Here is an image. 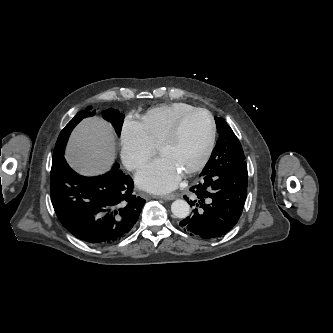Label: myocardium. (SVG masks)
I'll list each match as a JSON object with an SVG mask.
<instances>
[{"label":"myocardium","mask_w":333,"mask_h":333,"mask_svg":"<svg viewBox=\"0 0 333 333\" xmlns=\"http://www.w3.org/2000/svg\"><path fill=\"white\" fill-rule=\"evenodd\" d=\"M195 113H205L208 116L210 123V133L207 145L199 161L194 166L186 170L183 173L184 176H191L199 172L201 169L205 167V165L207 164V162L211 157V154L215 146L216 134H217L216 121L213 114L208 109L201 107H195L189 111L184 112L174 121L172 126L169 128L167 133L164 135V137L161 139L160 143L158 144V149L159 151H161L163 147L175 141L180 133V130L185 120Z\"/></svg>","instance_id":"f54148a6"}]
</instances>
